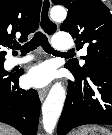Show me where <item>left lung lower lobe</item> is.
Returning a JSON list of instances; mask_svg holds the SVG:
<instances>
[{"label":"left lung lower lobe","instance_id":"1","mask_svg":"<svg viewBox=\"0 0 112 135\" xmlns=\"http://www.w3.org/2000/svg\"><path fill=\"white\" fill-rule=\"evenodd\" d=\"M70 71L75 82L69 81L57 135L87 124L112 125V70H97L86 76Z\"/></svg>","mask_w":112,"mask_h":135}]
</instances>
